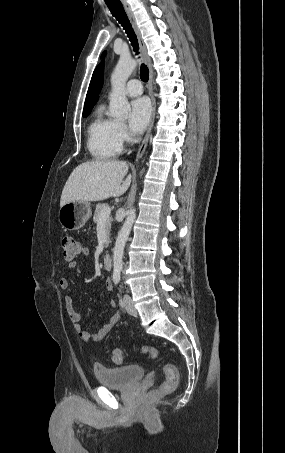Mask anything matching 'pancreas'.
Masks as SVG:
<instances>
[{
	"instance_id": "cf45deb5",
	"label": "pancreas",
	"mask_w": 285,
	"mask_h": 453,
	"mask_svg": "<svg viewBox=\"0 0 285 453\" xmlns=\"http://www.w3.org/2000/svg\"><path fill=\"white\" fill-rule=\"evenodd\" d=\"M107 207H109V205L106 204V203H102V204H97L96 205V209H95L94 216H93V221L95 223L98 222L102 210L107 208ZM111 221H112V218L110 216L106 218V235H107L108 239H109V236H110ZM107 246H108V242L105 244V247H107Z\"/></svg>"
}]
</instances>
